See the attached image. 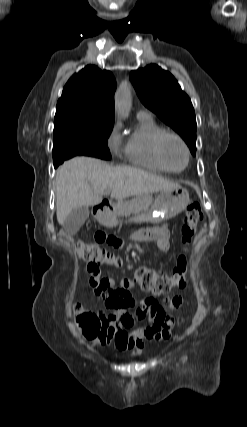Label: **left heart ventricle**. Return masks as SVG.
<instances>
[{
	"mask_svg": "<svg viewBox=\"0 0 247 427\" xmlns=\"http://www.w3.org/2000/svg\"><path fill=\"white\" fill-rule=\"evenodd\" d=\"M164 155L169 165L181 169L186 162V153L182 145L175 139H167L164 144Z\"/></svg>",
	"mask_w": 247,
	"mask_h": 427,
	"instance_id": "b2bd125f",
	"label": "left heart ventricle"
}]
</instances>
